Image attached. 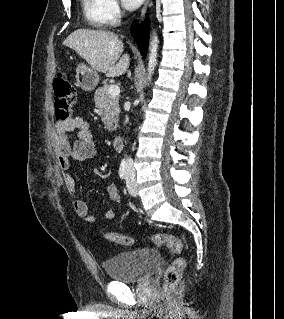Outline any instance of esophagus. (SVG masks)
Instances as JSON below:
<instances>
[{
    "mask_svg": "<svg viewBox=\"0 0 284 319\" xmlns=\"http://www.w3.org/2000/svg\"><path fill=\"white\" fill-rule=\"evenodd\" d=\"M150 0H146L144 6L141 9L140 12V19L142 20L145 17V14L147 12L148 6H149Z\"/></svg>",
    "mask_w": 284,
    "mask_h": 319,
    "instance_id": "esophagus-1",
    "label": "esophagus"
}]
</instances>
